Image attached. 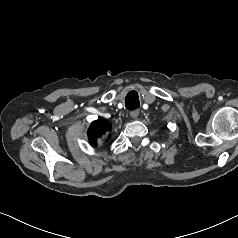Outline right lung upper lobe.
<instances>
[{
	"instance_id": "1",
	"label": "right lung upper lobe",
	"mask_w": 238,
	"mask_h": 238,
	"mask_svg": "<svg viewBox=\"0 0 238 238\" xmlns=\"http://www.w3.org/2000/svg\"><path fill=\"white\" fill-rule=\"evenodd\" d=\"M111 130V124L104 120L93 121L88 129V138L91 143L97 144V140Z\"/></svg>"
}]
</instances>
